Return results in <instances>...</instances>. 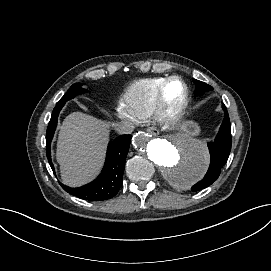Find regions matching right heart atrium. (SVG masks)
<instances>
[{
  "label": "right heart atrium",
  "mask_w": 271,
  "mask_h": 271,
  "mask_svg": "<svg viewBox=\"0 0 271 271\" xmlns=\"http://www.w3.org/2000/svg\"><path fill=\"white\" fill-rule=\"evenodd\" d=\"M116 112L120 117H130L125 108L121 105L116 107Z\"/></svg>",
  "instance_id": "right-heart-atrium-1"
}]
</instances>
